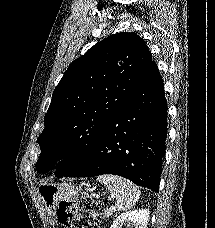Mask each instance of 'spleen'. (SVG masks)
I'll return each instance as SVG.
<instances>
[{
    "label": "spleen",
    "mask_w": 215,
    "mask_h": 228,
    "mask_svg": "<svg viewBox=\"0 0 215 228\" xmlns=\"http://www.w3.org/2000/svg\"><path fill=\"white\" fill-rule=\"evenodd\" d=\"M97 180L106 186L113 198H116L115 208L119 212L130 210V208L135 206V202L139 200L140 192L138 186L132 184L130 180H125L121 176H112V174L97 176Z\"/></svg>",
    "instance_id": "1"
}]
</instances>
